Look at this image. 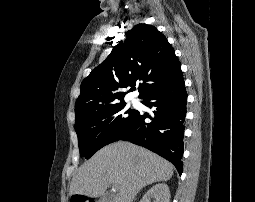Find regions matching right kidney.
Segmentation results:
<instances>
[{
  "label": "right kidney",
  "mask_w": 255,
  "mask_h": 202,
  "mask_svg": "<svg viewBox=\"0 0 255 202\" xmlns=\"http://www.w3.org/2000/svg\"><path fill=\"white\" fill-rule=\"evenodd\" d=\"M152 199H154L153 202H169L170 191L168 185L165 183L154 185L142 197L140 202H151Z\"/></svg>",
  "instance_id": "ca27d5eb"
}]
</instances>
